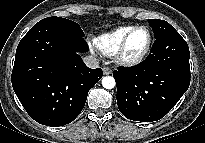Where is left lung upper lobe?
Listing matches in <instances>:
<instances>
[{"mask_svg":"<svg viewBox=\"0 0 205 143\" xmlns=\"http://www.w3.org/2000/svg\"><path fill=\"white\" fill-rule=\"evenodd\" d=\"M149 23L153 28L155 39L160 38L170 32L176 31L168 22L159 19H149Z\"/></svg>","mask_w":205,"mask_h":143,"instance_id":"obj_1","label":"left lung upper lobe"}]
</instances>
